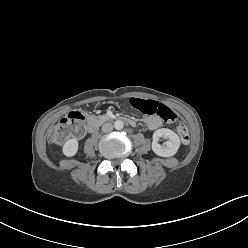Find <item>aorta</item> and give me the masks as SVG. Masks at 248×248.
Instances as JSON below:
<instances>
[{
  "instance_id": "obj_1",
  "label": "aorta",
  "mask_w": 248,
  "mask_h": 248,
  "mask_svg": "<svg viewBox=\"0 0 248 248\" xmlns=\"http://www.w3.org/2000/svg\"><path fill=\"white\" fill-rule=\"evenodd\" d=\"M123 127H124L123 121H121V120H116V121L114 122V128H115V129L121 130V129H123Z\"/></svg>"
}]
</instances>
